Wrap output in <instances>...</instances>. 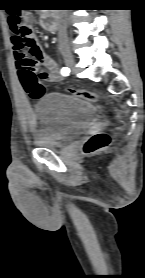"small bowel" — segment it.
Returning <instances> with one entry per match:
<instances>
[{
  "label": "small bowel",
  "mask_w": 145,
  "mask_h": 278,
  "mask_svg": "<svg viewBox=\"0 0 145 278\" xmlns=\"http://www.w3.org/2000/svg\"><path fill=\"white\" fill-rule=\"evenodd\" d=\"M21 20L26 25H31L33 15L30 11H24L21 14ZM14 58L17 67V74L20 85L26 96L36 99L43 93V81L54 82L59 78V72L52 60L46 56L34 35L26 46H23L22 40L17 36L12 37ZM43 65L45 69L40 68ZM37 78L36 81L34 79ZM28 88L32 91L28 92ZM29 124L35 126L34 116H30Z\"/></svg>",
  "instance_id": "obj_1"
}]
</instances>
